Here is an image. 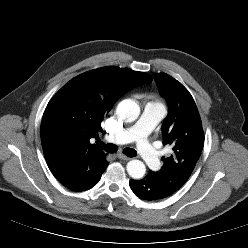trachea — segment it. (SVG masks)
<instances>
[{"label": "trachea", "mask_w": 248, "mask_h": 248, "mask_svg": "<svg viewBox=\"0 0 248 248\" xmlns=\"http://www.w3.org/2000/svg\"><path fill=\"white\" fill-rule=\"evenodd\" d=\"M97 146L99 148L104 149L106 152L108 153H115L117 152L118 148L116 145L108 143V144H104L103 142H101L99 139L97 140ZM123 153L125 155H127L128 157H135L137 155V152L132 149V148H125L123 150Z\"/></svg>", "instance_id": "trachea-1"}]
</instances>
